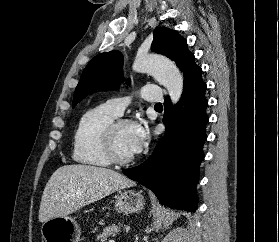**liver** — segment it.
Here are the masks:
<instances>
[{
  "mask_svg": "<svg viewBox=\"0 0 279 242\" xmlns=\"http://www.w3.org/2000/svg\"><path fill=\"white\" fill-rule=\"evenodd\" d=\"M135 183L111 169L89 165H65L48 180L40 203L39 221L68 216L81 207Z\"/></svg>",
  "mask_w": 279,
  "mask_h": 242,
  "instance_id": "liver-1",
  "label": "liver"
}]
</instances>
